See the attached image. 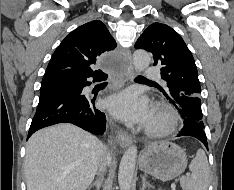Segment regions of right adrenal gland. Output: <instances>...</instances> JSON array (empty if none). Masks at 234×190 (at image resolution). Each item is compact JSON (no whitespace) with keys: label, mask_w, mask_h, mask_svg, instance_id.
<instances>
[{"label":"right adrenal gland","mask_w":234,"mask_h":190,"mask_svg":"<svg viewBox=\"0 0 234 190\" xmlns=\"http://www.w3.org/2000/svg\"><path fill=\"white\" fill-rule=\"evenodd\" d=\"M102 183H103V176L100 175L99 178L89 186L88 190H90L92 187H96V190H100Z\"/></svg>","instance_id":"2a0ac1e0"}]
</instances>
